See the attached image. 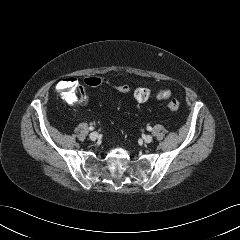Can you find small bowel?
<instances>
[{
    "label": "small bowel",
    "instance_id": "1",
    "mask_svg": "<svg viewBox=\"0 0 240 240\" xmlns=\"http://www.w3.org/2000/svg\"><path fill=\"white\" fill-rule=\"evenodd\" d=\"M82 91H83V89H81ZM83 93H84V91H83ZM86 101V96H85V93H84V97L82 98V97H80V102L81 103H84Z\"/></svg>",
    "mask_w": 240,
    "mask_h": 240
}]
</instances>
